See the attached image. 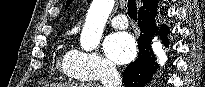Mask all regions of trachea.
<instances>
[{"mask_svg": "<svg viewBox=\"0 0 205 87\" xmlns=\"http://www.w3.org/2000/svg\"><path fill=\"white\" fill-rule=\"evenodd\" d=\"M128 15L130 18L137 21V6L135 0H128Z\"/></svg>", "mask_w": 205, "mask_h": 87, "instance_id": "1", "label": "trachea"}]
</instances>
